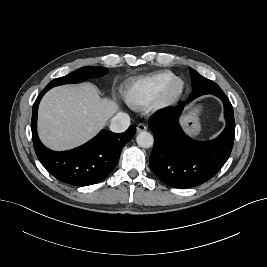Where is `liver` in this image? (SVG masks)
Returning <instances> with one entry per match:
<instances>
[{
  "mask_svg": "<svg viewBox=\"0 0 267 267\" xmlns=\"http://www.w3.org/2000/svg\"><path fill=\"white\" fill-rule=\"evenodd\" d=\"M118 109L90 83L55 87L39 105V137L56 151L77 147L94 137Z\"/></svg>",
  "mask_w": 267,
  "mask_h": 267,
  "instance_id": "liver-1",
  "label": "liver"
}]
</instances>
